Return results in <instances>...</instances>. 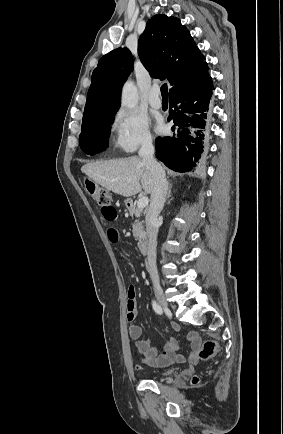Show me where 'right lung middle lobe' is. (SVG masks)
I'll use <instances>...</instances> for the list:
<instances>
[{"mask_svg": "<svg viewBox=\"0 0 283 434\" xmlns=\"http://www.w3.org/2000/svg\"><path fill=\"white\" fill-rule=\"evenodd\" d=\"M114 116L115 114L109 115L97 123L81 128L79 142L83 152L94 155L108 146Z\"/></svg>", "mask_w": 283, "mask_h": 434, "instance_id": "obj_1", "label": "right lung middle lobe"}]
</instances>
